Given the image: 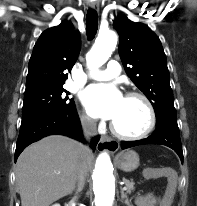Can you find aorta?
<instances>
[{
    "instance_id": "obj_1",
    "label": "aorta",
    "mask_w": 197,
    "mask_h": 206,
    "mask_svg": "<svg viewBox=\"0 0 197 206\" xmlns=\"http://www.w3.org/2000/svg\"><path fill=\"white\" fill-rule=\"evenodd\" d=\"M117 44V35L108 30L100 32L93 47L86 56L87 66L95 71L111 56ZM113 168L107 153H101L93 173V191L95 206H113L115 202V180Z\"/></svg>"
}]
</instances>
